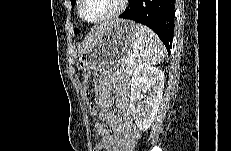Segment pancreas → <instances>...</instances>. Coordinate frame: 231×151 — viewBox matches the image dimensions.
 <instances>
[{"instance_id": "pancreas-1", "label": "pancreas", "mask_w": 231, "mask_h": 151, "mask_svg": "<svg viewBox=\"0 0 231 151\" xmlns=\"http://www.w3.org/2000/svg\"><path fill=\"white\" fill-rule=\"evenodd\" d=\"M121 69L126 73L127 75H132L135 70V64L134 63H126L124 61L120 62Z\"/></svg>"}]
</instances>
